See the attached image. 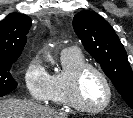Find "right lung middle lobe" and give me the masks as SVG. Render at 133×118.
I'll use <instances>...</instances> for the list:
<instances>
[{"mask_svg": "<svg viewBox=\"0 0 133 118\" xmlns=\"http://www.w3.org/2000/svg\"><path fill=\"white\" fill-rule=\"evenodd\" d=\"M16 60L0 59V97L13 91L18 83L11 75V68Z\"/></svg>", "mask_w": 133, "mask_h": 118, "instance_id": "1", "label": "right lung middle lobe"}]
</instances>
